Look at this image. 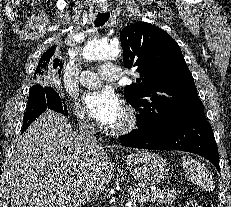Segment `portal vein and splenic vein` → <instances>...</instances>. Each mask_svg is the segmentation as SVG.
I'll use <instances>...</instances> for the list:
<instances>
[{"instance_id":"portal-vein-and-splenic-vein-1","label":"portal vein and splenic vein","mask_w":231,"mask_h":207,"mask_svg":"<svg viewBox=\"0 0 231 207\" xmlns=\"http://www.w3.org/2000/svg\"><path fill=\"white\" fill-rule=\"evenodd\" d=\"M146 198H143L142 201H145ZM141 202V201H140ZM126 206L127 207H134L135 206V203L132 201V200H129L127 203H126Z\"/></svg>"}]
</instances>
